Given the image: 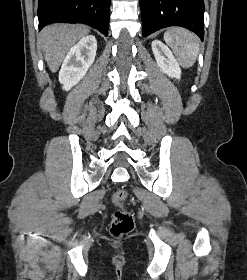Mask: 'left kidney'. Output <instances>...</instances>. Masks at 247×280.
I'll return each instance as SVG.
<instances>
[{
  "instance_id": "5707ae66",
  "label": "left kidney",
  "mask_w": 247,
  "mask_h": 280,
  "mask_svg": "<svg viewBox=\"0 0 247 280\" xmlns=\"http://www.w3.org/2000/svg\"><path fill=\"white\" fill-rule=\"evenodd\" d=\"M151 47L160 70L171 78L180 79L181 68L171 50L159 40H154Z\"/></svg>"
}]
</instances>
